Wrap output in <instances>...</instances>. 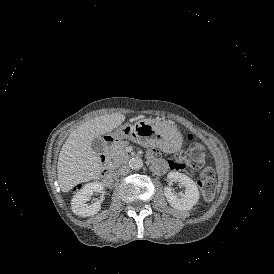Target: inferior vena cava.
Instances as JSON below:
<instances>
[{"label":"inferior vena cava","instance_id":"1","mask_svg":"<svg viewBox=\"0 0 274 274\" xmlns=\"http://www.w3.org/2000/svg\"><path fill=\"white\" fill-rule=\"evenodd\" d=\"M129 171H130L129 166L128 165H124V166H122V167H120L118 169L117 173H118V175L124 176V175H127L129 173Z\"/></svg>","mask_w":274,"mask_h":274}]
</instances>
